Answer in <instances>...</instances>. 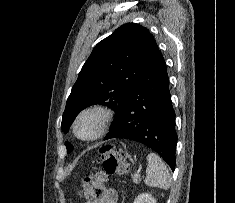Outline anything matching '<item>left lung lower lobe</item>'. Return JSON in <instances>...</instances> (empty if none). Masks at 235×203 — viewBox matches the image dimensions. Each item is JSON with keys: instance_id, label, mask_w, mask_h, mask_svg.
<instances>
[{"instance_id": "obj_1", "label": "left lung lower lobe", "mask_w": 235, "mask_h": 203, "mask_svg": "<svg viewBox=\"0 0 235 203\" xmlns=\"http://www.w3.org/2000/svg\"><path fill=\"white\" fill-rule=\"evenodd\" d=\"M111 138L130 139L148 146L174 171L177 143L175 112L166 64L159 50L104 140Z\"/></svg>"}]
</instances>
